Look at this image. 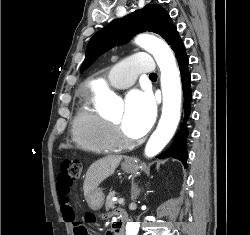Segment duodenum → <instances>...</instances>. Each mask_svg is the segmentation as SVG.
Segmentation results:
<instances>
[{
	"label": "duodenum",
	"instance_id": "410a0bca",
	"mask_svg": "<svg viewBox=\"0 0 250 235\" xmlns=\"http://www.w3.org/2000/svg\"><path fill=\"white\" fill-rule=\"evenodd\" d=\"M127 220H128L127 215L124 212L120 211L117 220L111 227L110 235H123L124 226Z\"/></svg>",
	"mask_w": 250,
	"mask_h": 235
}]
</instances>
